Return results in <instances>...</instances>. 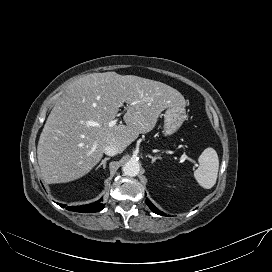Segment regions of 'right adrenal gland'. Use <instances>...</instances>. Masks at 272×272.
Instances as JSON below:
<instances>
[{"label": "right adrenal gland", "mask_w": 272, "mask_h": 272, "mask_svg": "<svg viewBox=\"0 0 272 272\" xmlns=\"http://www.w3.org/2000/svg\"><path fill=\"white\" fill-rule=\"evenodd\" d=\"M110 159V157L104 158L101 163L96 167V170L99 169L101 166H103V169L106 168V162Z\"/></svg>", "instance_id": "right-adrenal-gland-1"}]
</instances>
